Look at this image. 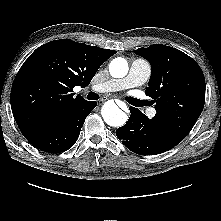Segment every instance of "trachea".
<instances>
[{
    "label": "trachea",
    "mask_w": 221,
    "mask_h": 221,
    "mask_svg": "<svg viewBox=\"0 0 221 221\" xmlns=\"http://www.w3.org/2000/svg\"><path fill=\"white\" fill-rule=\"evenodd\" d=\"M87 99L88 100H97V99H99V95L97 93H94V92H89L88 95H87ZM127 101L131 105L137 106V107H143V106L148 105V101L139 100V99L132 98V97H128Z\"/></svg>",
    "instance_id": "trachea-1"
}]
</instances>
